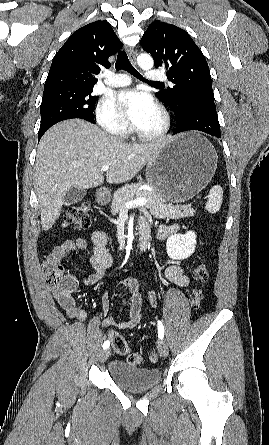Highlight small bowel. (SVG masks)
<instances>
[{"label": "small bowel", "mask_w": 269, "mask_h": 445, "mask_svg": "<svg viewBox=\"0 0 269 445\" xmlns=\"http://www.w3.org/2000/svg\"><path fill=\"white\" fill-rule=\"evenodd\" d=\"M140 232H149L151 234L150 224L147 220H141L139 223ZM178 232V225H161L157 231L159 239H166L170 235ZM108 236L103 230H96L92 234V248L89 247L88 242L84 238H77L67 240L62 244L56 246L51 254L48 256L49 260L59 263L63 258L72 255L76 251H84L90 256V265L93 272L84 278L86 285H93L99 281L105 274L106 270L111 267L113 257L107 249ZM166 277L174 284L180 287H187L189 285V278L185 275L183 269L178 265H170L165 270ZM68 277L77 284L74 277ZM120 284L127 287L132 293V301L129 306L128 319L125 321H118L109 315L110 303L107 292L102 293L101 311L103 315L102 324L104 327H116L118 329H132L142 321L141 310V286L140 283L133 277H124L120 280ZM53 294L57 302L64 309L69 318L85 321L87 313L85 309L77 304L71 294L68 295L69 302L64 301V293L60 290H53ZM149 301L154 303L155 294L153 291L149 293ZM111 332V331H110Z\"/></svg>", "instance_id": "obj_1"}]
</instances>
